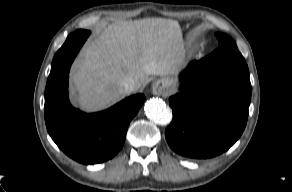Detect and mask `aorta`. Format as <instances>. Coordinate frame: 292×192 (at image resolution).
I'll return each mask as SVG.
<instances>
[{
	"label": "aorta",
	"instance_id": "762f6f07",
	"mask_svg": "<svg viewBox=\"0 0 292 192\" xmlns=\"http://www.w3.org/2000/svg\"><path fill=\"white\" fill-rule=\"evenodd\" d=\"M144 111L146 115L155 123L166 125L170 123L172 116L162 99L152 98L145 103Z\"/></svg>",
	"mask_w": 292,
	"mask_h": 192
}]
</instances>
